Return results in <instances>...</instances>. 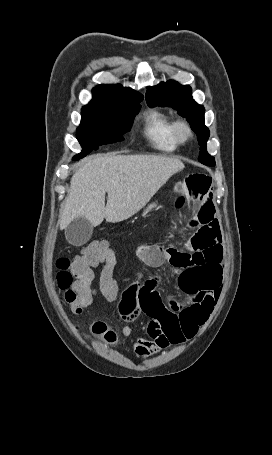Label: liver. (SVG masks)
Returning a JSON list of instances; mask_svg holds the SVG:
<instances>
[{"label": "liver", "instance_id": "6515ba94", "mask_svg": "<svg viewBox=\"0 0 272 455\" xmlns=\"http://www.w3.org/2000/svg\"><path fill=\"white\" fill-rule=\"evenodd\" d=\"M181 160L160 155H98L73 174L60 215V229L77 217L92 226L126 220L142 209L178 171ZM108 194L105 206V194Z\"/></svg>", "mask_w": 272, "mask_h": 455}]
</instances>
